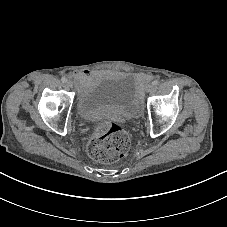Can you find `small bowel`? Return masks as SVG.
Returning a JSON list of instances; mask_svg holds the SVG:
<instances>
[{"label":"small bowel","mask_w":227,"mask_h":227,"mask_svg":"<svg viewBox=\"0 0 227 227\" xmlns=\"http://www.w3.org/2000/svg\"><path fill=\"white\" fill-rule=\"evenodd\" d=\"M92 75L93 74L88 70H79L74 73V77L81 85L87 84L91 79ZM147 80H148V77L146 75L140 74L137 76L138 82H146Z\"/></svg>","instance_id":"obj_1"}]
</instances>
